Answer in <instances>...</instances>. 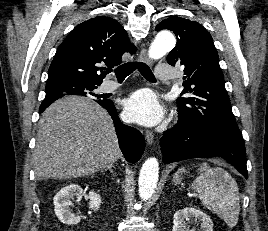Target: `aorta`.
<instances>
[{
  "instance_id": "aorta-1",
  "label": "aorta",
  "mask_w": 268,
  "mask_h": 231,
  "mask_svg": "<svg viewBox=\"0 0 268 231\" xmlns=\"http://www.w3.org/2000/svg\"><path fill=\"white\" fill-rule=\"evenodd\" d=\"M175 37L170 32H160L149 48V57L151 59L162 58L167 52L175 46ZM159 177V163L154 157L148 158L139 174V196L142 200H147L154 193Z\"/></svg>"
}]
</instances>
